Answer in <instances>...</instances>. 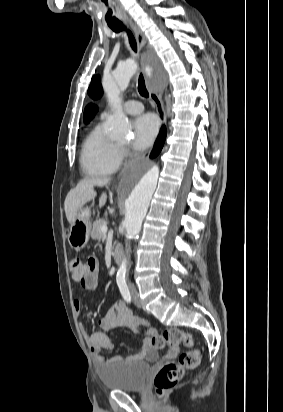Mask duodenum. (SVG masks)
I'll return each mask as SVG.
<instances>
[{"mask_svg": "<svg viewBox=\"0 0 283 412\" xmlns=\"http://www.w3.org/2000/svg\"><path fill=\"white\" fill-rule=\"evenodd\" d=\"M112 259L116 263H120L122 260V249L119 246H116L112 251Z\"/></svg>", "mask_w": 283, "mask_h": 412, "instance_id": "410a0bca", "label": "duodenum"}]
</instances>
